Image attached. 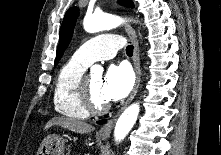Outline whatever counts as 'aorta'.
I'll return each instance as SVG.
<instances>
[{
	"instance_id": "obj_1",
	"label": "aorta",
	"mask_w": 221,
	"mask_h": 155,
	"mask_svg": "<svg viewBox=\"0 0 221 155\" xmlns=\"http://www.w3.org/2000/svg\"><path fill=\"white\" fill-rule=\"evenodd\" d=\"M120 23L121 19L118 17L109 14H93L84 18L83 26L86 32L96 33L116 28ZM139 111V103H133L120 115L114 129V138L116 142L123 140L132 129L137 120Z\"/></svg>"
}]
</instances>
